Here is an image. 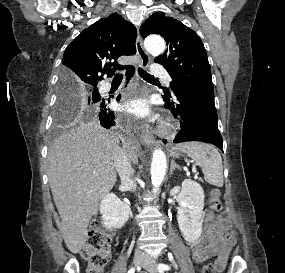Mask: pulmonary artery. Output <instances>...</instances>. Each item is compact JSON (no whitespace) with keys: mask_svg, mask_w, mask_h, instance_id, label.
<instances>
[{"mask_svg":"<svg viewBox=\"0 0 285 273\" xmlns=\"http://www.w3.org/2000/svg\"><path fill=\"white\" fill-rule=\"evenodd\" d=\"M151 72L154 76L164 78L167 83H170L171 77L164 67L154 64L151 67ZM100 87L102 90H108L110 88V83L104 82Z\"/></svg>","mask_w":285,"mask_h":273,"instance_id":"obj_1","label":"pulmonary artery"}]
</instances>
